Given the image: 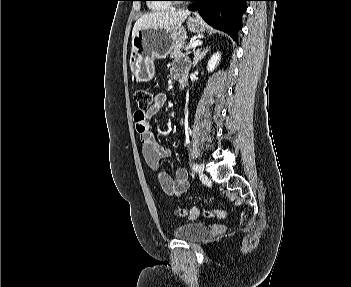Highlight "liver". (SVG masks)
Returning <instances> with one entry per match:
<instances>
[{"label": "liver", "mask_w": 351, "mask_h": 287, "mask_svg": "<svg viewBox=\"0 0 351 287\" xmlns=\"http://www.w3.org/2000/svg\"><path fill=\"white\" fill-rule=\"evenodd\" d=\"M190 15L187 10L178 11H161L142 15L135 23L132 31V37L140 29L148 28H166L171 29L180 26Z\"/></svg>", "instance_id": "1"}]
</instances>
